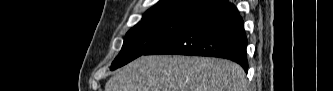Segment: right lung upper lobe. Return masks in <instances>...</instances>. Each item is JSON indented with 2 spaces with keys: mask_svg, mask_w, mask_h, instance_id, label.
<instances>
[{
  "mask_svg": "<svg viewBox=\"0 0 333 91\" xmlns=\"http://www.w3.org/2000/svg\"><path fill=\"white\" fill-rule=\"evenodd\" d=\"M206 0H161L150 8L143 16L148 17H173L192 19L203 10L201 4ZM218 2L220 0H213Z\"/></svg>",
  "mask_w": 333,
  "mask_h": 91,
  "instance_id": "cb5924a9",
  "label": "right lung upper lobe"
}]
</instances>
